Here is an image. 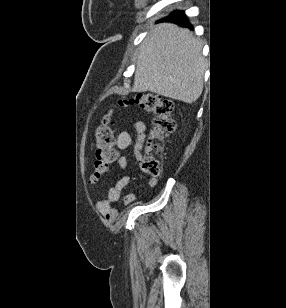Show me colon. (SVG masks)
<instances>
[{"mask_svg": "<svg viewBox=\"0 0 286 308\" xmlns=\"http://www.w3.org/2000/svg\"><path fill=\"white\" fill-rule=\"evenodd\" d=\"M128 106H137L152 115L150 137L141 159V167L148 176L156 178L160 175L162 168L161 142L173 133L176 127L171 117L173 102L155 93H139L119 102V107ZM95 140V161L90 177L92 183H97L116 159L112 113L102 118L95 132Z\"/></svg>", "mask_w": 286, "mask_h": 308, "instance_id": "5ec220e1", "label": "colon"}]
</instances>
